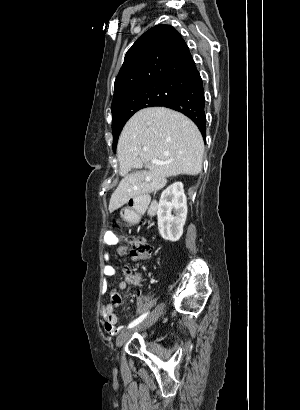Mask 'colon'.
Wrapping results in <instances>:
<instances>
[{
	"label": "colon",
	"mask_w": 300,
	"mask_h": 410,
	"mask_svg": "<svg viewBox=\"0 0 300 410\" xmlns=\"http://www.w3.org/2000/svg\"><path fill=\"white\" fill-rule=\"evenodd\" d=\"M125 240L129 246L128 255L131 261H141L150 255L151 245L143 236L129 235Z\"/></svg>",
	"instance_id": "obj_1"
}]
</instances>
